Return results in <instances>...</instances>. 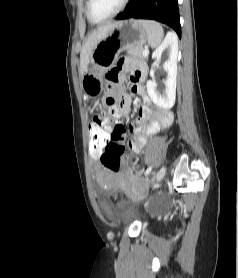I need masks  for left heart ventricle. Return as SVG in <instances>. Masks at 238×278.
Listing matches in <instances>:
<instances>
[{"instance_id": "obj_1", "label": "left heart ventricle", "mask_w": 238, "mask_h": 278, "mask_svg": "<svg viewBox=\"0 0 238 278\" xmlns=\"http://www.w3.org/2000/svg\"><path fill=\"white\" fill-rule=\"evenodd\" d=\"M122 0H92L91 11L95 18H104L113 13Z\"/></svg>"}]
</instances>
